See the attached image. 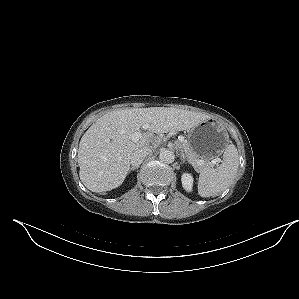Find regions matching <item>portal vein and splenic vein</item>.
<instances>
[{
	"label": "portal vein and splenic vein",
	"mask_w": 299,
	"mask_h": 299,
	"mask_svg": "<svg viewBox=\"0 0 299 299\" xmlns=\"http://www.w3.org/2000/svg\"><path fill=\"white\" fill-rule=\"evenodd\" d=\"M142 136V133L140 131L134 132L132 134V141L137 142L140 137ZM180 142H184V138H179ZM217 160H212L211 164H216ZM205 162L203 160H199L196 162L197 165H203Z\"/></svg>",
	"instance_id": "obj_1"
}]
</instances>
